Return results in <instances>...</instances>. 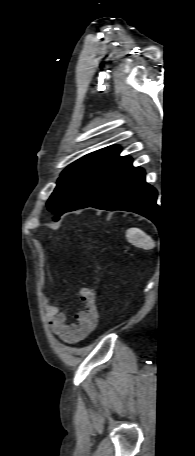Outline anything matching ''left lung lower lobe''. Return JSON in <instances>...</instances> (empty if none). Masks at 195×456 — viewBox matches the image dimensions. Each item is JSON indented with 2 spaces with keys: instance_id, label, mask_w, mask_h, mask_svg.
<instances>
[{
  "instance_id": "0a47b994",
  "label": "left lung lower lobe",
  "mask_w": 195,
  "mask_h": 456,
  "mask_svg": "<svg viewBox=\"0 0 195 456\" xmlns=\"http://www.w3.org/2000/svg\"><path fill=\"white\" fill-rule=\"evenodd\" d=\"M156 200L157 191L146 183L144 170L134 167L131 157L125 156L102 187L78 209L123 210L154 221Z\"/></svg>"
}]
</instances>
